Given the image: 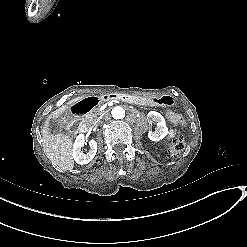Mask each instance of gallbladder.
<instances>
[{"instance_id":"obj_1","label":"gallbladder","mask_w":247,"mask_h":247,"mask_svg":"<svg viewBox=\"0 0 247 247\" xmlns=\"http://www.w3.org/2000/svg\"><path fill=\"white\" fill-rule=\"evenodd\" d=\"M42 128L44 130H48L50 134H55L58 132V134H62L64 136H69V131L66 129H61L60 123L57 121H53L52 119H47L42 123Z\"/></svg>"}]
</instances>
